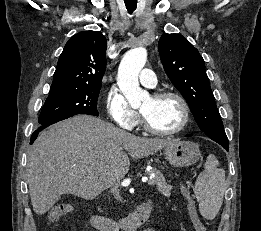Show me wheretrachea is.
Returning a JSON list of instances; mask_svg holds the SVG:
<instances>
[{
	"mask_svg": "<svg viewBox=\"0 0 261 231\" xmlns=\"http://www.w3.org/2000/svg\"><path fill=\"white\" fill-rule=\"evenodd\" d=\"M125 5L128 12L132 13L137 7V0L134 1L125 0Z\"/></svg>",
	"mask_w": 261,
	"mask_h": 231,
	"instance_id": "obj_1",
	"label": "trachea"
}]
</instances>
